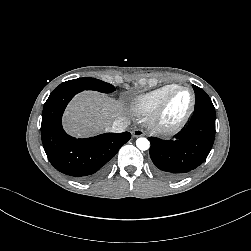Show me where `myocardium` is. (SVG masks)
I'll return each instance as SVG.
<instances>
[{
	"label": "myocardium",
	"instance_id": "1",
	"mask_svg": "<svg viewBox=\"0 0 251 251\" xmlns=\"http://www.w3.org/2000/svg\"><path fill=\"white\" fill-rule=\"evenodd\" d=\"M179 91H187L190 94V104L184 114L175 122H167L164 119L166 108L173 97V95ZM196 104V98L194 92L184 86H176L172 90H170L161 102L158 104L156 109L149 115L148 125L150 129L159 134H173L180 131L185 124L188 122L189 118L191 117Z\"/></svg>",
	"mask_w": 251,
	"mask_h": 251
}]
</instances>
